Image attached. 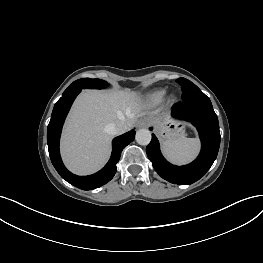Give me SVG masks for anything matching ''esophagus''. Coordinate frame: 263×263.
Returning <instances> with one entry per match:
<instances>
[{
    "label": "esophagus",
    "instance_id": "esophagus-1",
    "mask_svg": "<svg viewBox=\"0 0 263 263\" xmlns=\"http://www.w3.org/2000/svg\"><path fill=\"white\" fill-rule=\"evenodd\" d=\"M149 125H150V122H149V120H147V119H142V120H140L139 123H138V127H139V128H146V127H148Z\"/></svg>",
    "mask_w": 263,
    "mask_h": 263
}]
</instances>
